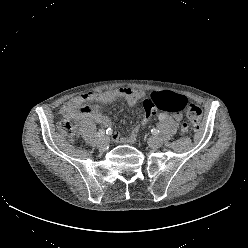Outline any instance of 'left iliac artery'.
I'll return each instance as SVG.
<instances>
[{"instance_id":"44dca946","label":"left iliac artery","mask_w":248,"mask_h":248,"mask_svg":"<svg viewBox=\"0 0 248 248\" xmlns=\"http://www.w3.org/2000/svg\"><path fill=\"white\" fill-rule=\"evenodd\" d=\"M152 131H153L154 134H158L159 133V130H156V129H154Z\"/></svg>"}]
</instances>
